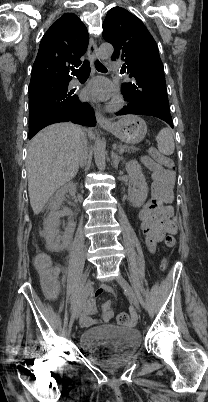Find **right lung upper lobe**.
Listing matches in <instances>:
<instances>
[{
	"label": "right lung upper lobe",
	"mask_w": 208,
	"mask_h": 402,
	"mask_svg": "<svg viewBox=\"0 0 208 402\" xmlns=\"http://www.w3.org/2000/svg\"><path fill=\"white\" fill-rule=\"evenodd\" d=\"M89 42L87 28L73 13H65L42 37L32 68L29 90L47 81L69 80L71 66L81 64L80 57Z\"/></svg>",
	"instance_id": "1"
}]
</instances>
